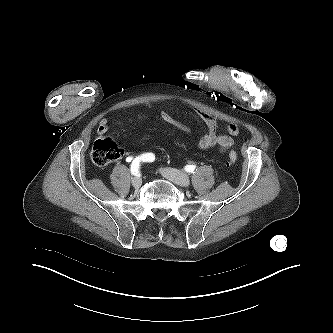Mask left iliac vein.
<instances>
[{"label":"left iliac vein","mask_w":333,"mask_h":333,"mask_svg":"<svg viewBox=\"0 0 333 333\" xmlns=\"http://www.w3.org/2000/svg\"><path fill=\"white\" fill-rule=\"evenodd\" d=\"M160 172L165 178L179 186L188 187L190 185V179L188 175L183 172L172 168H162L160 169Z\"/></svg>","instance_id":"4c4485c4"}]
</instances>
